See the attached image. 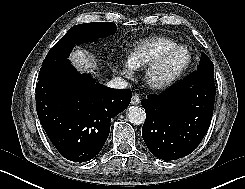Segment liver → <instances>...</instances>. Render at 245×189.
Here are the masks:
<instances>
[{
    "label": "liver",
    "mask_w": 245,
    "mask_h": 189,
    "mask_svg": "<svg viewBox=\"0 0 245 189\" xmlns=\"http://www.w3.org/2000/svg\"><path fill=\"white\" fill-rule=\"evenodd\" d=\"M70 59L78 66L81 68H90L91 71L93 69H96V63L95 61L91 58V56L87 53V51L82 50V49H76L73 51Z\"/></svg>",
    "instance_id": "1"
}]
</instances>
